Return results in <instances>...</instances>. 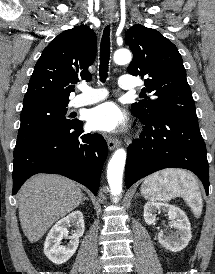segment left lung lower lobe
<instances>
[{
  "label": "left lung lower lobe",
  "mask_w": 215,
  "mask_h": 274,
  "mask_svg": "<svg viewBox=\"0 0 215 274\" xmlns=\"http://www.w3.org/2000/svg\"><path fill=\"white\" fill-rule=\"evenodd\" d=\"M137 117L145 126L128 147L126 187L164 168H184L200 178L208 194V161L198 121L169 114Z\"/></svg>",
  "instance_id": "1"
}]
</instances>
